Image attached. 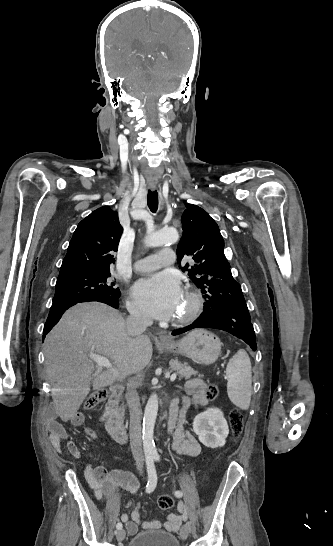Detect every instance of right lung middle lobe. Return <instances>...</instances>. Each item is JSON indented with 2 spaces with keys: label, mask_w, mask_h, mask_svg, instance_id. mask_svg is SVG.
Returning <instances> with one entry per match:
<instances>
[{
  "label": "right lung middle lobe",
  "mask_w": 333,
  "mask_h": 546,
  "mask_svg": "<svg viewBox=\"0 0 333 546\" xmlns=\"http://www.w3.org/2000/svg\"><path fill=\"white\" fill-rule=\"evenodd\" d=\"M110 271L77 272L59 276L53 302L79 299L92 296H112L120 298V290L107 278Z\"/></svg>",
  "instance_id": "1"
}]
</instances>
